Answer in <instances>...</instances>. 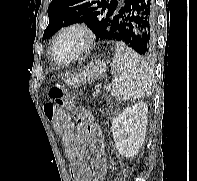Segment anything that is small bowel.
Returning a JSON list of instances; mask_svg holds the SVG:
<instances>
[{"instance_id": "c3829d8e", "label": "small bowel", "mask_w": 197, "mask_h": 181, "mask_svg": "<svg viewBox=\"0 0 197 181\" xmlns=\"http://www.w3.org/2000/svg\"><path fill=\"white\" fill-rule=\"evenodd\" d=\"M62 141L73 181L104 180L107 166L104 140L99 124L85 108L75 111V121L67 124ZM88 152L94 158L91 168L84 163Z\"/></svg>"}]
</instances>
